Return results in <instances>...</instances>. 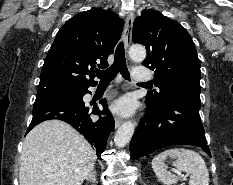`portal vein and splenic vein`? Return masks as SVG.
I'll list each match as a JSON object with an SVG mask.
<instances>
[{
	"instance_id": "obj_1",
	"label": "portal vein and splenic vein",
	"mask_w": 233,
	"mask_h": 185,
	"mask_svg": "<svg viewBox=\"0 0 233 185\" xmlns=\"http://www.w3.org/2000/svg\"><path fill=\"white\" fill-rule=\"evenodd\" d=\"M179 176H182L183 177V175L181 174V172H179V171H175Z\"/></svg>"
}]
</instances>
